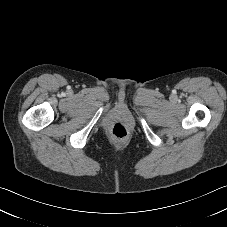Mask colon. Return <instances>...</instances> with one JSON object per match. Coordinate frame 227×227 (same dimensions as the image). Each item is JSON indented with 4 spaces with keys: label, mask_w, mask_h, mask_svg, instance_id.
Returning <instances> with one entry per match:
<instances>
[{
    "label": "colon",
    "mask_w": 227,
    "mask_h": 227,
    "mask_svg": "<svg viewBox=\"0 0 227 227\" xmlns=\"http://www.w3.org/2000/svg\"><path fill=\"white\" fill-rule=\"evenodd\" d=\"M113 134L115 137L117 138H125L128 134L127 129L125 128V126L121 125V124H116L113 127L112 130Z\"/></svg>",
    "instance_id": "5ec220e1"
}]
</instances>
